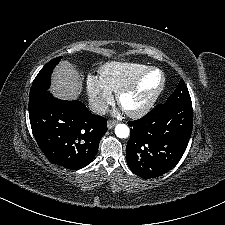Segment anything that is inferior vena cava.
Listing matches in <instances>:
<instances>
[{
	"mask_svg": "<svg viewBox=\"0 0 225 225\" xmlns=\"http://www.w3.org/2000/svg\"><path fill=\"white\" fill-rule=\"evenodd\" d=\"M89 110L94 114L104 115L108 111V105L104 101H90Z\"/></svg>",
	"mask_w": 225,
	"mask_h": 225,
	"instance_id": "obj_1",
	"label": "inferior vena cava"
}]
</instances>
